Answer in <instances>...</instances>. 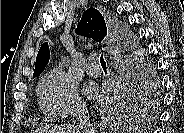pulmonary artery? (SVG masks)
Returning a JSON list of instances; mask_svg holds the SVG:
<instances>
[{"instance_id": "e3ab8cb5", "label": "pulmonary artery", "mask_w": 184, "mask_h": 133, "mask_svg": "<svg viewBox=\"0 0 184 133\" xmlns=\"http://www.w3.org/2000/svg\"><path fill=\"white\" fill-rule=\"evenodd\" d=\"M86 72L91 77H99L102 74V69L96 63V56L92 55L90 62L86 66Z\"/></svg>"}]
</instances>
